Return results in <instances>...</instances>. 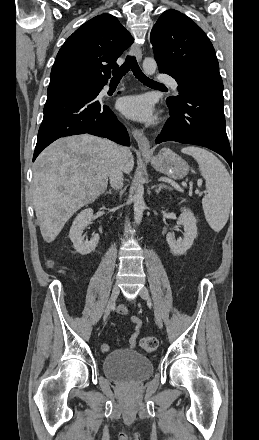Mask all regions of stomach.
I'll list each match as a JSON object with an SVG mask.
<instances>
[{"label":"stomach","mask_w":259,"mask_h":440,"mask_svg":"<svg viewBox=\"0 0 259 440\" xmlns=\"http://www.w3.org/2000/svg\"><path fill=\"white\" fill-rule=\"evenodd\" d=\"M152 167L172 179H182L189 172V166L179 155L168 148H163L154 157L147 158Z\"/></svg>","instance_id":"0dacf381"}]
</instances>
